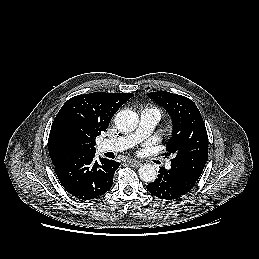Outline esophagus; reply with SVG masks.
I'll return each mask as SVG.
<instances>
[{"label": "esophagus", "mask_w": 259, "mask_h": 259, "mask_svg": "<svg viewBox=\"0 0 259 259\" xmlns=\"http://www.w3.org/2000/svg\"><path fill=\"white\" fill-rule=\"evenodd\" d=\"M127 162L131 165V166H133V167H140L142 164H141V162H139V161H137V160H135V159H129V160H127Z\"/></svg>", "instance_id": "esophagus-1"}]
</instances>
